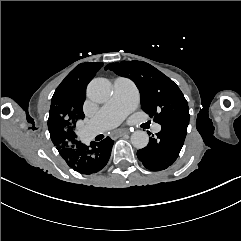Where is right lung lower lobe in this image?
<instances>
[{"mask_svg":"<svg viewBox=\"0 0 241 241\" xmlns=\"http://www.w3.org/2000/svg\"><path fill=\"white\" fill-rule=\"evenodd\" d=\"M113 143L106 137L100 142H91L89 146L76 140L70 145L56 148L69 167L81 174H93L107 164Z\"/></svg>","mask_w":241,"mask_h":241,"instance_id":"1","label":"right lung lower lobe"}]
</instances>
